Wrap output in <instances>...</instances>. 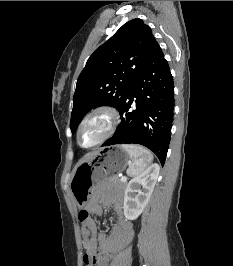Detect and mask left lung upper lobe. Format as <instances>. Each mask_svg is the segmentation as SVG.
I'll use <instances>...</instances> for the list:
<instances>
[{
	"mask_svg": "<svg viewBox=\"0 0 233 266\" xmlns=\"http://www.w3.org/2000/svg\"><path fill=\"white\" fill-rule=\"evenodd\" d=\"M157 46L151 28L136 18L94 51L77 80L72 133L89 110L103 105L121 107Z\"/></svg>",
	"mask_w": 233,
	"mask_h": 266,
	"instance_id": "5c2ea615",
	"label": "left lung upper lobe"
}]
</instances>
